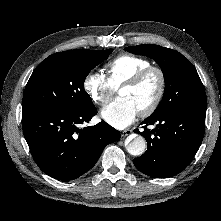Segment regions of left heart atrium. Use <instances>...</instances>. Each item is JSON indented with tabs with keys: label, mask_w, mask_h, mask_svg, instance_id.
I'll use <instances>...</instances> for the list:
<instances>
[{
	"label": "left heart atrium",
	"mask_w": 221,
	"mask_h": 221,
	"mask_svg": "<svg viewBox=\"0 0 221 221\" xmlns=\"http://www.w3.org/2000/svg\"><path fill=\"white\" fill-rule=\"evenodd\" d=\"M138 112L129 98L119 97L101 111V117L111 126L123 129L136 119Z\"/></svg>",
	"instance_id": "39dd6f15"
}]
</instances>
